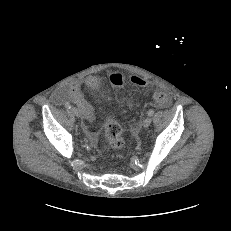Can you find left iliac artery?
I'll return each mask as SVG.
<instances>
[{
	"label": "left iliac artery",
	"mask_w": 231,
	"mask_h": 231,
	"mask_svg": "<svg viewBox=\"0 0 231 231\" xmlns=\"http://www.w3.org/2000/svg\"><path fill=\"white\" fill-rule=\"evenodd\" d=\"M153 114H154V110L153 109H150L149 111H148V116H153Z\"/></svg>",
	"instance_id": "1"
}]
</instances>
